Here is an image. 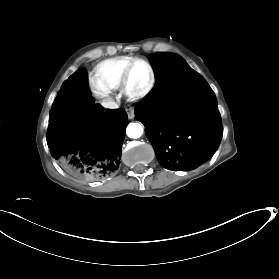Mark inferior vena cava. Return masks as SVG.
Segmentation results:
<instances>
[{"instance_id": "1", "label": "inferior vena cava", "mask_w": 279, "mask_h": 279, "mask_svg": "<svg viewBox=\"0 0 279 279\" xmlns=\"http://www.w3.org/2000/svg\"><path fill=\"white\" fill-rule=\"evenodd\" d=\"M106 101V102H105ZM103 102V106L106 107V108H111V109H115V108H118V105L117 103L111 101V99H108V100H105Z\"/></svg>"}]
</instances>
